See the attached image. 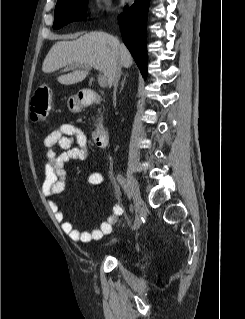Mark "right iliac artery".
<instances>
[{
	"label": "right iliac artery",
	"instance_id": "82829eb1",
	"mask_svg": "<svg viewBox=\"0 0 245 319\" xmlns=\"http://www.w3.org/2000/svg\"><path fill=\"white\" fill-rule=\"evenodd\" d=\"M117 180L124 187V189L126 190L124 177L122 175H117ZM139 225H140V220L136 219L135 223H134V226H133V229H137L139 227Z\"/></svg>",
	"mask_w": 245,
	"mask_h": 319
}]
</instances>
